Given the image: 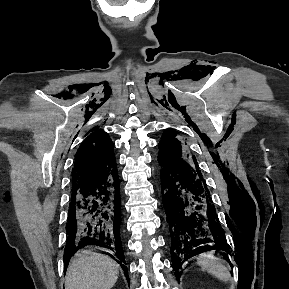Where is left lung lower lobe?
<instances>
[{
    "instance_id": "0a47b994",
    "label": "left lung lower lobe",
    "mask_w": 289,
    "mask_h": 289,
    "mask_svg": "<svg viewBox=\"0 0 289 289\" xmlns=\"http://www.w3.org/2000/svg\"><path fill=\"white\" fill-rule=\"evenodd\" d=\"M158 162L172 267L179 280L189 258L213 249L229 250L203 176L186 160L165 152H159Z\"/></svg>"
}]
</instances>
